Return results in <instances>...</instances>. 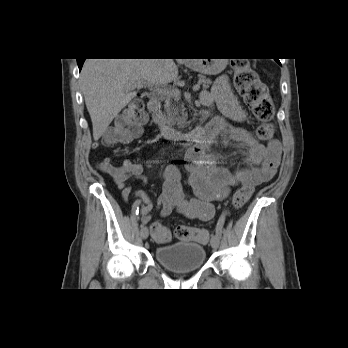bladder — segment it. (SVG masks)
I'll list each match as a JSON object with an SVG mask.
<instances>
[{"label": "bladder", "mask_w": 348, "mask_h": 348, "mask_svg": "<svg viewBox=\"0 0 348 348\" xmlns=\"http://www.w3.org/2000/svg\"><path fill=\"white\" fill-rule=\"evenodd\" d=\"M155 256L168 271L177 274L194 272L206 261L204 246L193 241L158 246L155 249Z\"/></svg>", "instance_id": "31cf9c89"}]
</instances>
